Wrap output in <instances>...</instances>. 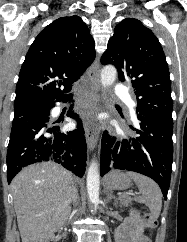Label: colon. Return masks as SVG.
I'll return each instance as SVG.
<instances>
[{"instance_id":"1","label":"colon","mask_w":187,"mask_h":242,"mask_svg":"<svg viewBox=\"0 0 187 242\" xmlns=\"http://www.w3.org/2000/svg\"><path fill=\"white\" fill-rule=\"evenodd\" d=\"M144 221L147 227L150 229H154L157 226V219L149 213L144 215ZM140 242H151V241L149 240V238L144 237L140 240Z\"/></svg>"}]
</instances>
